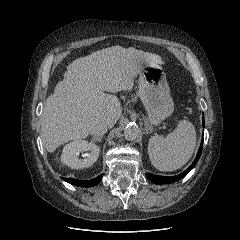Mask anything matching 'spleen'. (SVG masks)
Masks as SVG:
<instances>
[{
    "label": "spleen",
    "mask_w": 240,
    "mask_h": 240,
    "mask_svg": "<svg viewBox=\"0 0 240 240\" xmlns=\"http://www.w3.org/2000/svg\"><path fill=\"white\" fill-rule=\"evenodd\" d=\"M196 146V131L187 120L178 123L166 137H150L148 154L153 166L160 171H175L185 165Z\"/></svg>",
    "instance_id": "obj_1"
}]
</instances>
